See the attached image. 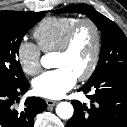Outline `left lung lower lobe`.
I'll return each mask as SVG.
<instances>
[{
	"label": "left lung lower lobe",
	"instance_id": "1",
	"mask_svg": "<svg viewBox=\"0 0 127 127\" xmlns=\"http://www.w3.org/2000/svg\"><path fill=\"white\" fill-rule=\"evenodd\" d=\"M78 91L88 93L91 105L78 100L71 103L74 115L66 127H126L127 69H115L86 82Z\"/></svg>",
	"mask_w": 127,
	"mask_h": 127
}]
</instances>
